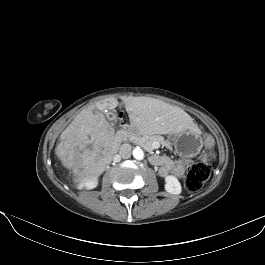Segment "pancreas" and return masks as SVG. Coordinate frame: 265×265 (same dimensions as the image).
Returning <instances> with one entry per match:
<instances>
[{"instance_id": "pancreas-1", "label": "pancreas", "mask_w": 265, "mask_h": 265, "mask_svg": "<svg viewBox=\"0 0 265 265\" xmlns=\"http://www.w3.org/2000/svg\"><path fill=\"white\" fill-rule=\"evenodd\" d=\"M128 140L141 145L144 147L147 151H152V143L154 141L160 142L163 146H166L167 148H171V144L166 141L162 136L159 135H140V134H132L130 133L128 135Z\"/></svg>"}]
</instances>
